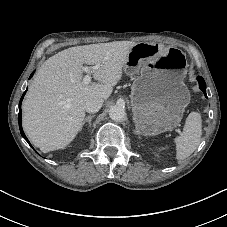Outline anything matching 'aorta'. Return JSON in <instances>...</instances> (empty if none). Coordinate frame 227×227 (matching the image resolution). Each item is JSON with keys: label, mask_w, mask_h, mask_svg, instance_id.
<instances>
[{"label": "aorta", "mask_w": 227, "mask_h": 227, "mask_svg": "<svg viewBox=\"0 0 227 227\" xmlns=\"http://www.w3.org/2000/svg\"><path fill=\"white\" fill-rule=\"evenodd\" d=\"M125 109L122 106L114 105L109 110V116L114 121H121L125 117Z\"/></svg>", "instance_id": "obj_1"}]
</instances>
